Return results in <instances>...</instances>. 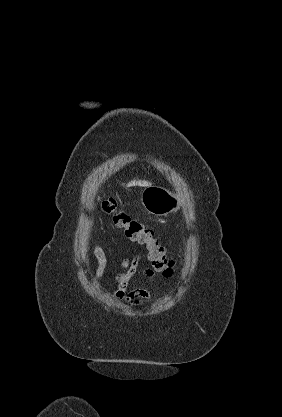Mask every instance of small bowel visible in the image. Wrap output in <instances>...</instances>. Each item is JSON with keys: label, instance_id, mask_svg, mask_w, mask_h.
Masks as SVG:
<instances>
[{"label": "small bowel", "instance_id": "obj_1", "mask_svg": "<svg viewBox=\"0 0 282 417\" xmlns=\"http://www.w3.org/2000/svg\"><path fill=\"white\" fill-rule=\"evenodd\" d=\"M93 255L98 264L94 275V280L97 281L104 275L108 260L103 248L98 244L93 248ZM121 265L122 271L116 277L117 288L114 296L117 300L124 301L131 306H140L145 300L151 298L152 293L146 288H128L130 279L138 270V258L125 257ZM142 272L147 279L154 278V271L151 268H144Z\"/></svg>", "mask_w": 282, "mask_h": 417}]
</instances>
